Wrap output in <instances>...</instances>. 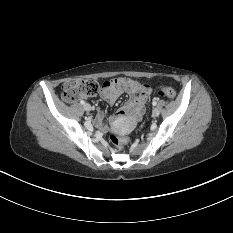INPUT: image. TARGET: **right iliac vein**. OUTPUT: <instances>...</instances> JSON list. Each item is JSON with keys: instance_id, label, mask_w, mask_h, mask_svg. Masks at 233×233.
<instances>
[{"instance_id": "right-iliac-vein-1", "label": "right iliac vein", "mask_w": 233, "mask_h": 233, "mask_svg": "<svg viewBox=\"0 0 233 233\" xmlns=\"http://www.w3.org/2000/svg\"><path fill=\"white\" fill-rule=\"evenodd\" d=\"M83 108H84V110L87 111V112H89V111L91 110V106H90V104H88V103H85V104L83 105Z\"/></svg>"}]
</instances>
